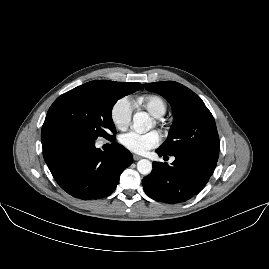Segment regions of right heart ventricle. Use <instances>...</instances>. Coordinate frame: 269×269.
<instances>
[{"instance_id": "1", "label": "right heart ventricle", "mask_w": 269, "mask_h": 269, "mask_svg": "<svg viewBox=\"0 0 269 269\" xmlns=\"http://www.w3.org/2000/svg\"><path fill=\"white\" fill-rule=\"evenodd\" d=\"M144 108H146L154 116H162L166 112L164 101L157 96H147L140 100Z\"/></svg>"}]
</instances>
